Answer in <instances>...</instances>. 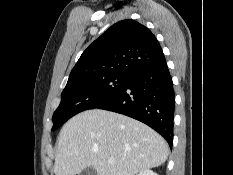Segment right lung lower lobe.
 I'll return each mask as SVG.
<instances>
[{
	"label": "right lung lower lobe",
	"instance_id": "98d812e1",
	"mask_svg": "<svg viewBox=\"0 0 233 175\" xmlns=\"http://www.w3.org/2000/svg\"><path fill=\"white\" fill-rule=\"evenodd\" d=\"M174 90L164 55L130 75L112 99L97 107L139 120L173 144Z\"/></svg>",
	"mask_w": 233,
	"mask_h": 175
}]
</instances>
